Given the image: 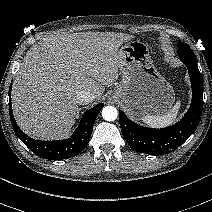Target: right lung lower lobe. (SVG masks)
<instances>
[{
	"instance_id": "1",
	"label": "right lung lower lobe",
	"mask_w": 212,
	"mask_h": 212,
	"mask_svg": "<svg viewBox=\"0 0 212 212\" xmlns=\"http://www.w3.org/2000/svg\"><path fill=\"white\" fill-rule=\"evenodd\" d=\"M11 86L12 84L9 88V112L12 127L16 135L32 152L44 159L61 160L74 157L84 150L90 140L95 119L104 106L103 103L97 104L84 113L78 128L71 138L56 141H40L30 138L18 127L12 112Z\"/></svg>"
}]
</instances>
